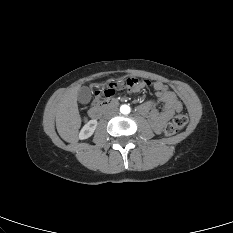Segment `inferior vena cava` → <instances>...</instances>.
Segmentation results:
<instances>
[{"label": "inferior vena cava", "instance_id": "602c4592", "mask_svg": "<svg viewBox=\"0 0 233 233\" xmlns=\"http://www.w3.org/2000/svg\"><path fill=\"white\" fill-rule=\"evenodd\" d=\"M117 113V109H111L108 111V115L112 116Z\"/></svg>", "mask_w": 233, "mask_h": 233}]
</instances>
